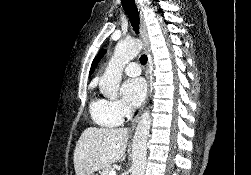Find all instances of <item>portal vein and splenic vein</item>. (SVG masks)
<instances>
[{"label":"portal vein and splenic vein","mask_w":251,"mask_h":175,"mask_svg":"<svg viewBox=\"0 0 251 175\" xmlns=\"http://www.w3.org/2000/svg\"><path fill=\"white\" fill-rule=\"evenodd\" d=\"M109 175H117L115 169H111V171H109Z\"/></svg>","instance_id":"1"}]
</instances>
